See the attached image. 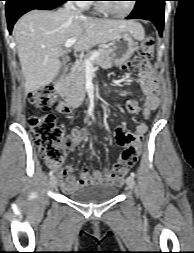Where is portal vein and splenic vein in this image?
<instances>
[{"mask_svg":"<svg viewBox=\"0 0 194 253\" xmlns=\"http://www.w3.org/2000/svg\"><path fill=\"white\" fill-rule=\"evenodd\" d=\"M76 42H77L76 38H71V39H68L64 45L66 48H69ZM99 54H100L99 52L93 53V55L88 60L85 61V67L86 68H93L91 61L94 60L96 57H98Z\"/></svg>","mask_w":194,"mask_h":253,"instance_id":"18ae733b","label":"portal vein and splenic vein"}]
</instances>
